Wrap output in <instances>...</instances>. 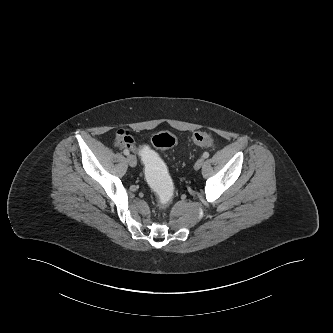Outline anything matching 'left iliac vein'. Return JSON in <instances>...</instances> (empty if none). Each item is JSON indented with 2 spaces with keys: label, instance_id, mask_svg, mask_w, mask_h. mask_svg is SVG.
<instances>
[{
  "label": "left iliac vein",
  "instance_id": "4c4485c4",
  "mask_svg": "<svg viewBox=\"0 0 333 333\" xmlns=\"http://www.w3.org/2000/svg\"><path fill=\"white\" fill-rule=\"evenodd\" d=\"M203 164H204V159H203V158H200V159H198V160L196 161V163H195V165H194V168H195L196 170H199V169L202 167Z\"/></svg>",
  "mask_w": 333,
  "mask_h": 333
}]
</instances>
